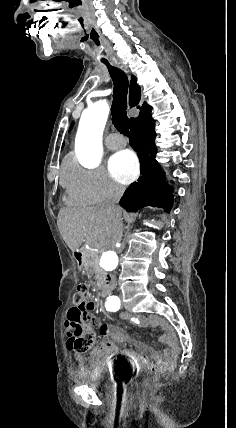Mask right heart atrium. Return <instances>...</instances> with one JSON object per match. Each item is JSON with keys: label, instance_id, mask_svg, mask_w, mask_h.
<instances>
[{"label": "right heart atrium", "instance_id": "1", "mask_svg": "<svg viewBox=\"0 0 236 428\" xmlns=\"http://www.w3.org/2000/svg\"><path fill=\"white\" fill-rule=\"evenodd\" d=\"M70 200L79 206H101L102 200H119L125 189L111 179L103 166L71 164L63 180Z\"/></svg>", "mask_w": 236, "mask_h": 428}]
</instances>
